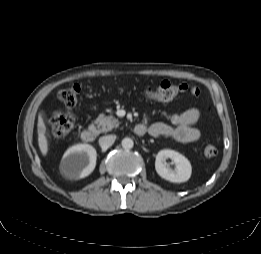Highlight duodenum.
I'll use <instances>...</instances> for the list:
<instances>
[{
  "label": "duodenum",
  "instance_id": "duodenum-1",
  "mask_svg": "<svg viewBox=\"0 0 261 254\" xmlns=\"http://www.w3.org/2000/svg\"><path fill=\"white\" fill-rule=\"evenodd\" d=\"M135 132L137 134L141 135L142 134V127L137 125L135 127ZM95 137H96V133L91 128H86V129L82 130V132H81V138L85 142H92V141L95 140Z\"/></svg>",
  "mask_w": 261,
  "mask_h": 254
}]
</instances>
